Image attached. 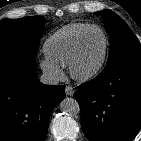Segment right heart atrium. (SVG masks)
<instances>
[{"label": "right heart atrium", "mask_w": 141, "mask_h": 141, "mask_svg": "<svg viewBox=\"0 0 141 141\" xmlns=\"http://www.w3.org/2000/svg\"><path fill=\"white\" fill-rule=\"evenodd\" d=\"M39 65L43 73L53 81L59 80L63 77L64 72L61 65L52 61L47 56L39 61Z\"/></svg>", "instance_id": "right-heart-atrium-1"}]
</instances>
